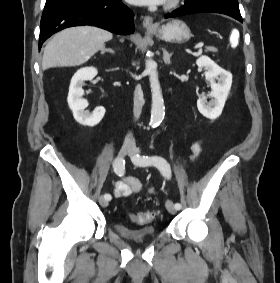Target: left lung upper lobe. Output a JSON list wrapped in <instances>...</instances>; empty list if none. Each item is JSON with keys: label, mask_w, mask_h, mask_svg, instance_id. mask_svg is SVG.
<instances>
[{"label": "left lung upper lobe", "mask_w": 280, "mask_h": 283, "mask_svg": "<svg viewBox=\"0 0 280 283\" xmlns=\"http://www.w3.org/2000/svg\"><path fill=\"white\" fill-rule=\"evenodd\" d=\"M209 4L226 9L235 15L241 16L238 0H185V4Z\"/></svg>", "instance_id": "left-lung-upper-lobe-1"}]
</instances>
